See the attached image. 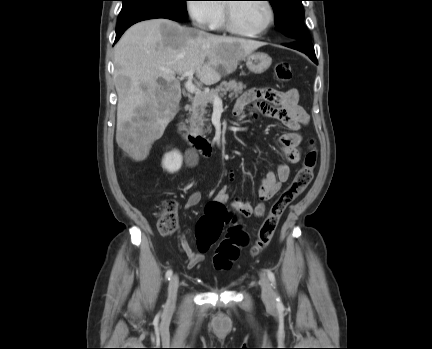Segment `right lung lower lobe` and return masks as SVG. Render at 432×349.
<instances>
[{"mask_svg":"<svg viewBox=\"0 0 432 349\" xmlns=\"http://www.w3.org/2000/svg\"><path fill=\"white\" fill-rule=\"evenodd\" d=\"M155 18H166V17L160 16V15L149 14V15H141L138 17H134V18L119 22L117 25V28H116L115 43L119 40V38L125 32V30L128 29L131 25H133L139 21L148 20V19H155Z\"/></svg>","mask_w":432,"mask_h":349,"instance_id":"1","label":"right lung lower lobe"}]
</instances>
